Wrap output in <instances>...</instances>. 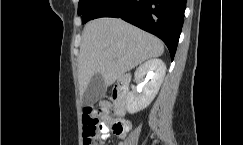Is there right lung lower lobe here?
I'll return each instance as SVG.
<instances>
[{
	"instance_id": "right-lung-lower-lobe-1",
	"label": "right lung lower lobe",
	"mask_w": 243,
	"mask_h": 145,
	"mask_svg": "<svg viewBox=\"0 0 243 145\" xmlns=\"http://www.w3.org/2000/svg\"><path fill=\"white\" fill-rule=\"evenodd\" d=\"M185 8L186 0H94L82 14V23L99 17L121 18L163 40L173 60Z\"/></svg>"
}]
</instances>
